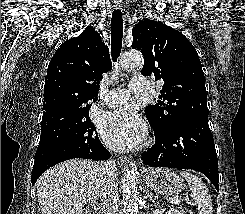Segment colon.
Segmentation results:
<instances>
[{
  "label": "colon",
  "mask_w": 245,
  "mask_h": 214,
  "mask_svg": "<svg viewBox=\"0 0 245 214\" xmlns=\"http://www.w3.org/2000/svg\"><path fill=\"white\" fill-rule=\"evenodd\" d=\"M183 214H194V213L186 210V211L183 212Z\"/></svg>",
  "instance_id": "5ec220e1"
}]
</instances>
